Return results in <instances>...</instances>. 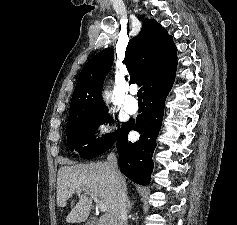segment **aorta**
<instances>
[{
	"label": "aorta",
	"instance_id": "obj_1",
	"mask_svg": "<svg viewBox=\"0 0 237 225\" xmlns=\"http://www.w3.org/2000/svg\"><path fill=\"white\" fill-rule=\"evenodd\" d=\"M105 95L107 96V95H108V93H107V92H105Z\"/></svg>",
	"mask_w": 237,
	"mask_h": 225
}]
</instances>
